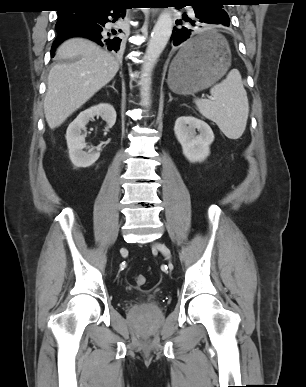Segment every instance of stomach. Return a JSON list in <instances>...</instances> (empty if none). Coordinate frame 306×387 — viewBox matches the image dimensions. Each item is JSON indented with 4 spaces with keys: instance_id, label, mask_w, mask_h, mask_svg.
Listing matches in <instances>:
<instances>
[{
    "instance_id": "stomach-1",
    "label": "stomach",
    "mask_w": 306,
    "mask_h": 387,
    "mask_svg": "<svg viewBox=\"0 0 306 387\" xmlns=\"http://www.w3.org/2000/svg\"><path fill=\"white\" fill-rule=\"evenodd\" d=\"M207 37L213 39L207 53L184 61L180 51L171 62L168 85L173 92L191 95L204 90L217 82L230 67V49L227 41L221 35L215 32H204L191 41L198 42Z\"/></svg>"
}]
</instances>
